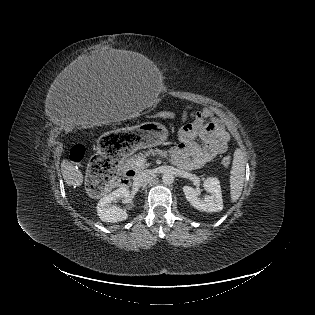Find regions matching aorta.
<instances>
[{
    "instance_id": "obj_1",
    "label": "aorta",
    "mask_w": 315,
    "mask_h": 315,
    "mask_svg": "<svg viewBox=\"0 0 315 315\" xmlns=\"http://www.w3.org/2000/svg\"><path fill=\"white\" fill-rule=\"evenodd\" d=\"M162 182L166 185H170L174 182V175L170 172L164 173L162 176Z\"/></svg>"
}]
</instances>
